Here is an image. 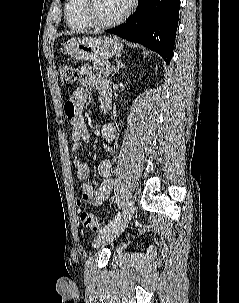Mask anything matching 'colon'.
Returning a JSON list of instances; mask_svg holds the SVG:
<instances>
[{
    "mask_svg": "<svg viewBox=\"0 0 239 303\" xmlns=\"http://www.w3.org/2000/svg\"><path fill=\"white\" fill-rule=\"evenodd\" d=\"M59 73H60L61 83L65 87H71L78 81V77H79L78 71L70 63L64 62L60 64ZM76 204L80 208L82 206L81 200L77 199ZM78 215L80 222L85 228H89L91 230L98 229L99 223L94 214L79 209Z\"/></svg>",
    "mask_w": 239,
    "mask_h": 303,
    "instance_id": "5ec220e1",
    "label": "colon"
}]
</instances>
